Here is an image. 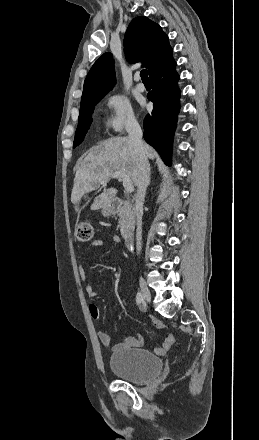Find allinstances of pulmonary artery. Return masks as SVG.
Instances as JSON below:
<instances>
[{"label":"pulmonary artery","instance_id":"e3ab8cb5","mask_svg":"<svg viewBox=\"0 0 259 440\" xmlns=\"http://www.w3.org/2000/svg\"><path fill=\"white\" fill-rule=\"evenodd\" d=\"M135 81H136V85H135V87H136L137 91H139V92H143V91H145V86H144V84L140 81V77H139L138 74L135 76Z\"/></svg>","mask_w":259,"mask_h":440}]
</instances>
